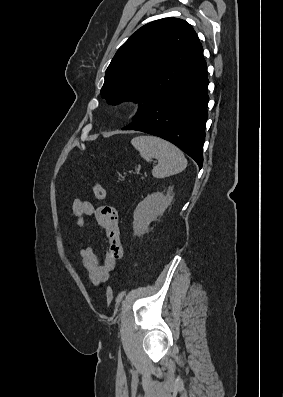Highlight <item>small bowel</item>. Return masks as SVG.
I'll use <instances>...</instances> for the list:
<instances>
[{
	"mask_svg": "<svg viewBox=\"0 0 283 397\" xmlns=\"http://www.w3.org/2000/svg\"><path fill=\"white\" fill-rule=\"evenodd\" d=\"M88 216L94 217L108 240V249L102 263L99 262L91 246H83L80 249L82 263L91 282L95 285H100L109 279L110 273L115 269L117 261L123 257L118 212L111 206L94 207L87 200H75L71 208V217L75 219L76 225L83 228L85 218Z\"/></svg>",
	"mask_w": 283,
	"mask_h": 397,
	"instance_id": "small-bowel-1",
	"label": "small bowel"
}]
</instances>
